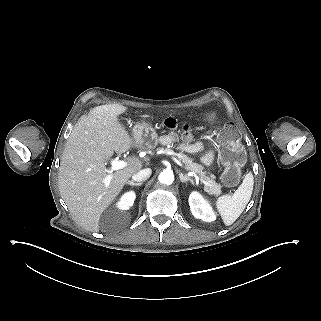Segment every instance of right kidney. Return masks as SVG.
<instances>
[{"label":"right kidney","instance_id":"ca27d5eb","mask_svg":"<svg viewBox=\"0 0 321 321\" xmlns=\"http://www.w3.org/2000/svg\"><path fill=\"white\" fill-rule=\"evenodd\" d=\"M136 194L134 191L126 192L120 198V201L116 203V207L120 210H128L134 203Z\"/></svg>","mask_w":321,"mask_h":321}]
</instances>
